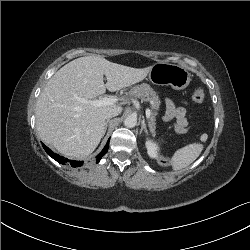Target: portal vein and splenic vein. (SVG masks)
Returning a JSON list of instances; mask_svg holds the SVG:
<instances>
[{"instance_id":"18ae733b","label":"portal vein and splenic vein","mask_w":250,"mask_h":250,"mask_svg":"<svg viewBox=\"0 0 250 250\" xmlns=\"http://www.w3.org/2000/svg\"><path fill=\"white\" fill-rule=\"evenodd\" d=\"M81 101L86 102L85 99H81ZM117 101H118V98H116V97H109V98L108 97H104V98L99 99V100L90 101V103L93 106L100 107V106L113 105ZM150 115H151V111H150V109H147L146 110V117L149 119Z\"/></svg>"}]
</instances>
